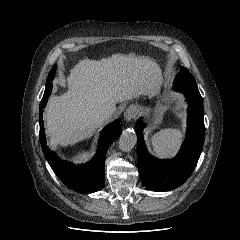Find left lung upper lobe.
I'll return each mask as SVG.
<instances>
[{"label":"left lung upper lobe","mask_w":240,"mask_h":240,"mask_svg":"<svg viewBox=\"0 0 240 240\" xmlns=\"http://www.w3.org/2000/svg\"><path fill=\"white\" fill-rule=\"evenodd\" d=\"M180 74H183L188 77H193L192 74L185 67L180 68Z\"/></svg>","instance_id":"5c2ea615"}]
</instances>
